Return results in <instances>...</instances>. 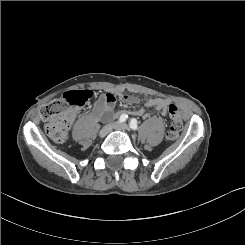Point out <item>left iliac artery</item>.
Returning <instances> with one entry per match:
<instances>
[{
	"mask_svg": "<svg viewBox=\"0 0 245 245\" xmlns=\"http://www.w3.org/2000/svg\"><path fill=\"white\" fill-rule=\"evenodd\" d=\"M129 126L132 130H137L138 128L137 120L135 118L131 119Z\"/></svg>",
	"mask_w": 245,
	"mask_h": 245,
	"instance_id": "1",
	"label": "left iliac artery"
}]
</instances>
